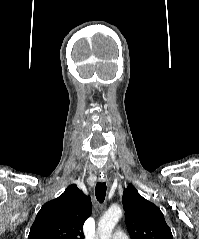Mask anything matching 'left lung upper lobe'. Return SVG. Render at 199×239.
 I'll use <instances>...</instances> for the list:
<instances>
[{"label":"left lung upper lobe","instance_id":"left-lung-upper-lobe-1","mask_svg":"<svg viewBox=\"0 0 199 239\" xmlns=\"http://www.w3.org/2000/svg\"><path fill=\"white\" fill-rule=\"evenodd\" d=\"M126 226L131 239H173L160 209L129 184L123 192Z\"/></svg>","mask_w":199,"mask_h":239}]
</instances>
